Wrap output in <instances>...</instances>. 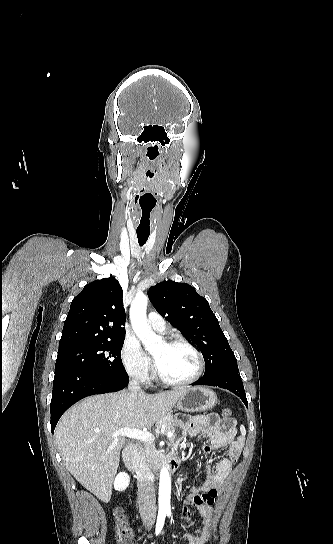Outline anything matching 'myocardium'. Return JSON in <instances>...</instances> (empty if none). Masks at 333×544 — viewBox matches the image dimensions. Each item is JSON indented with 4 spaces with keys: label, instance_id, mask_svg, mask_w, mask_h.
Instances as JSON below:
<instances>
[{
    "label": "myocardium",
    "instance_id": "f54148a6",
    "mask_svg": "<svg viewBox=\"0 0 333 544\" xmlns=\"http://www.w3.org/2000/svg\"><path fill=\"white\" fill-rule=\"evenodd\" d=\"M164 343L167 344L168 346L182 345L188 348L189 350H191L197 358L198 368L195 374L186 380L171 381V380L165 379L161 375L156 365V362L154 360V364H153L154 378L158 383L168 387H183V386H188L190 384L195 383L203 376L205 372V367H206L205 359L203 354L192 343H190L189 341L183 338H173V339L165 340Z\"/></svg>",
    "mask_w": 333,
    "mask_h": 544
}]
</instances>
